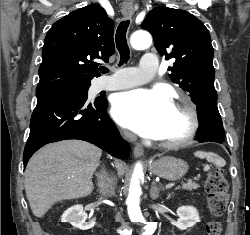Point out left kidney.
I'll return each mask as SVG.
<instances>
[{"instance_id": "obj_1", "label": "left kidney", "mask_w": 250, "mask_h": 235, "mask_svg": "<svg viewBox=\"0 0 250 235\" xmlns=\"http://www.w3.org/2000/svg\"><path fill=\"white\" fill-rule=\"evenodd\" d=\"M178 220L174 225L179 230H186L200 222L198 211L193 206H181L177 209Z\"/></svg>"}]
</instances>
